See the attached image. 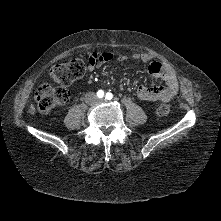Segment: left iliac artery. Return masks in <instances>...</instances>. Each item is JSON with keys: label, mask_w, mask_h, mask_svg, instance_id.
<instances>
[{"label": "left iliac artery", "mask_w": 221, "mask_h": 221, "mask_svg": "<svg viewBox=\"0 0 221 221\" xmlns=\"http://www.w3.org/2000/svg\"><path fill=\"white\" fill-rule=\"evenodd\" d=\"M105 98H106L107 100H111V99L113 98L112 93H110V92L106 93Z\"/></svg>", "instance_id": "left-iliac-artery-1"}]
</instances>
